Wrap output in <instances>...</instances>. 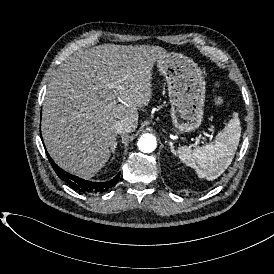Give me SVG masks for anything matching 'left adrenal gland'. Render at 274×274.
Instances as JSON below:
<instances>
[{
	"label": "left adrenal gland",
	"mask_w": 274,
	"mask_h": 274,
	"mask_svg": "<svg viewBox=\"0 0 274 274\" xmlns=\"http://www.w3.org/2000/svg\"><path fill=\"white\" fill-rule=\"evenodd\" d=\"M169 144H170V150H171V152H172L173 154H175L176 151L174 150V146H173L172 142H170Z\"/></svg>",
	"instance_id": "1"
}]
</instances>
